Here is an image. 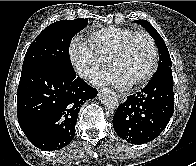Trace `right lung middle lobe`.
I'll return each instance as SVG.
<instances>
[{
    "label": "right lung middle lobe",
    "mask_w": 196,
    "mask_h": 166,
    "mask_svg": "<svg viewBox=\"0 0 196 166\" xmlns=\"http://www.w3.org/2000/svg\"><path fill=\"white\" fill-rule=\"evenodd\" d=\"M87 23V19L77 18L57 21L47 26L29 46L22 71L38 66L74 71L69 59L70 42Z\"/></svg>",
    "instance_id": "dd1d6c3e"
}]
</instances>
